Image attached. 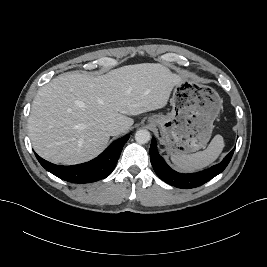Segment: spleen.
<instances>
[{
	"label": "spleen",
	"instance_id": "3e777b00",
	"mask_svg": "<svg viewBox=\"0 0 267 267\" xmlns=\"http://www.w3.org/2000/svg\"><path fill=\"white\" fill-rule=\"evenodd\" d=\"M225 146L221 135H216L207 149L194 154L171 155L172 162L183 171H195L202 169L214 162Z\"/></svg>",
	"mask_w": 267,
	"mask_h": 267
}]
</instances>
